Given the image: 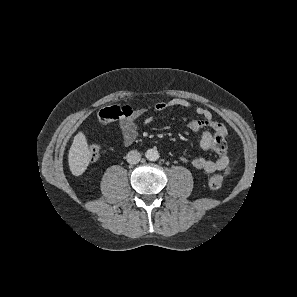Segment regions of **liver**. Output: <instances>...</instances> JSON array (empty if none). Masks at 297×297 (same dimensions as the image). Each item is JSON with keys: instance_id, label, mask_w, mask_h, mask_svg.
I'll use <instances>...</instances> for the list:
<instances>
[{"instance_id": "6515ba94", "label": "liver", "mask_w": 297, "mask_h": 297, "mask_svg": "<svg viewBox=\"0 0 297 297\" xmlns=\"http://www.w3.org/2000/svg\"><path fill=\"white\" fill-rule=\"evenodd\" d=\"M91 152L86 137L82 131L78 132L73 139L68 154V163L73 175L83 174L90 162Z\"/></svg>"}]
</instances>
